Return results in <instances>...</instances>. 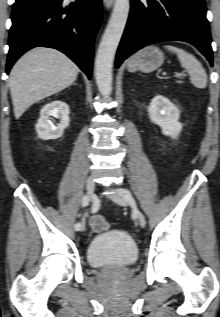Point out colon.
<instances>
[{
    "instance_id": "obj_1",
    "label": "colon",
    "mask_w": 220,
    "mask_h": 317,
    "mask_svg": "<svg viewBox=\"0 0 220 317\" xmlns=\"http://www.w3.org/2000/svg\"><path fill=\"white\" fill-rule=\"evenodd\" d=\"M90 227L93 232L99 233L106 231L109 227V223L103 216H93L90 219Z\"/></svg>"
}]
</instances>
